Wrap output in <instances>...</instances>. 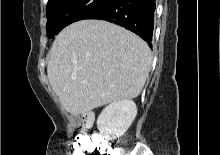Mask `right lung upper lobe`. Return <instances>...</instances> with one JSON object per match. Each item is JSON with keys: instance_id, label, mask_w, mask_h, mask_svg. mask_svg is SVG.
I'll use <instances>...</instances> for the list:
<instances>
[{"instance_id": "obj_1", "label": "right lung upper lobe", "mask_w": 220, "mask_h": 155, "mask_svg": "<svg viewBox=\"0 0 220 155\" xmlns=\"http://www.w3.org/2000/svg\"><path fill=\"white\" fill-rule=\"evenodd\" d=\"M52 0H48V3L51 2Z\"/></svg>"}]
</instances>
